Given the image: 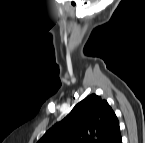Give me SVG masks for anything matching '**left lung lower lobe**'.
I'll return each instance as SVG.
<instances>
[{
	"label": "left lung lower lobe",
	"mask_w": 145,
	"mask_h": 143,
	"mask_svg": "<svg viewBox=\"0 0 145 143\" xmlns=\"http://www.w3.org/2000/svg\"><path fill=\"white\" fill-rule=\"evenodd\" d=\"M114 143H122L121 135L115 140Z\"/></svg>",
	"instance_id": "obj_1"
}]
</instances>
